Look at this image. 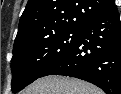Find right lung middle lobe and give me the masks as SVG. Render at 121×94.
Listing matches in <instances>:
<instances>
[{"mask_svg": "<svg viewBox=\"0 0 121 94\" xmlns=\"http://www.w3.org/2000/svg\"><path fill=\"white\" fill-rule=\"evenodd\" d=\"M78 29L45 34L32 33L13 47L11 60L13 93L38 79L76 44Z\"/></svg>", "mask_w": 121, "mask_h": 94, "instance_id": "dd1d6c3e", "label": "right lung middle lobe"}]
</instances>
